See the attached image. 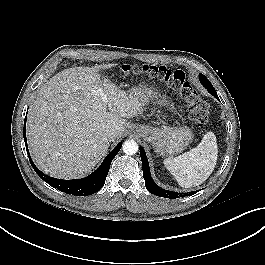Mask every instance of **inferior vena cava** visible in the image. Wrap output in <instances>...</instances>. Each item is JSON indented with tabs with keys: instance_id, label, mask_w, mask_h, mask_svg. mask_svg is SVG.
<instances>
[{
	"instance_id": "1",
	"label": "inferior vena cava",
	"mask_w": 265,
	"mask_h": 265,
	"mask_svg": "<svg viewBox=\"0 0 265 265\" xmlns=\"http://www.w3.org/2000/svg\"><path fill=\"white\" fill-rule=\"evenodd\" d=\"M106 135L108 138L114 139L117 137V132L115 131V129H109V130H107Z\"/></svg>"
}]
</instances>
